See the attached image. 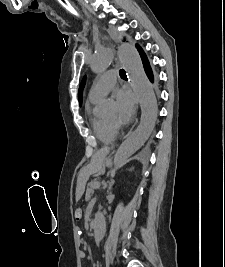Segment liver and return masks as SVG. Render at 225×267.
<instances>
[{
	"label": "liver",
	"mask_w": 225,
	"mask_h": 267,
	"mask_svg": "<svg viewBox=\"0 0 225 267\" xmlns=\"http://www.w3.org/2000/svg\"><path fill=\"white\" fill-rule=\"evenodd\" d=\"M106 155H107L106 150H100L97 153H95L90 165L88 166V172L89 173L98 172L102 168V165H103V162H104ZM82 194H83V188L77 194L76 198L79 199Z\"/></svg>",
	"instance_id": "1"
}]
</instances>
